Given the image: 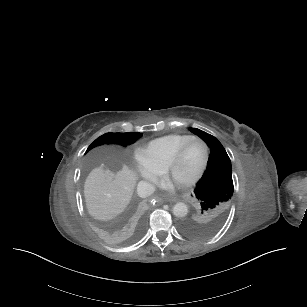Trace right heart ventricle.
Instances as JSON below:
<instances>
[{"label":"right heart ventricle","instance_id":"e07e8e85","mask_svg":"<svg viewBox=\"0 0 307 307\" xmlns=\"http://www.w3.org/2000/svg\"><path fill=\"white\" fill-rule=\"evenodd\" d=\"M190 137L192 136L188 134H167L150 141L135 144L132 152L134 156L142 158L148 164L160 167Z\"/></svg>","mask_w":307,"mask_h":307}]
</instances>
